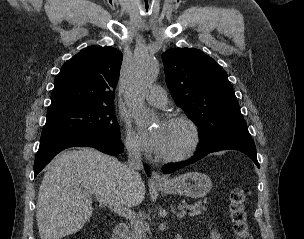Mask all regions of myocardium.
<instances>
[{"label": "myocardium", "mask_w": 304, "mask_h": 239, "mask_svg": "<svg viewBox=\"0 0 304 239\" xmlns=\"http://www.w3.org/2000/svg\"><path fill=\"white\" fill-rule=\"evenodd\" d=\"M167 122L180 123L186 126L189 130L190 139L187 146L181 151L172 154H158L157 158L164 162H178L191 157L201 142V131L198 124L188 116L182 114L170 116Z\"/></svg>", "instance_id": "1"}]
</instances>
